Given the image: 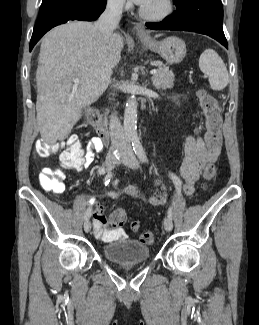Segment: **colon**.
<instances>
[{"label":"colon","mask_w":259,"mask_h":325,"mask_svg":"<svg viewBox=\"0 0 259 325\" xmlns=\"http://www.w3.org/2000/svg\"><path fill=\"white\" fill-rule=\"evenodd\" d=\"M198 100L200 108L205 118V142L209 149H216L221 143V115L220 107L216 98L206 90L198 91ZM66 149L61 154V161L64 166L63 169H50L45 168L39 174V183L41 187L46 191L54 193H61L64 190L63 180L66 177V168H70L76 161H78L82 154L83 148L80 141L71 136L66 141ZM60 148L58 143H46L44 141H38L36 143V152L42 157H47ZM216 169L213 165L206 167L204 171V177L207 180L212 179L215 176ZM126 221V213L123 209L115 210L109 217V224L112 228H121ZM131 229L138 231L140 229V222L133 221L131 223ZM155 235L152 231H144L140 235V241L145 244H153Z\"/></svg>","instance_id":"colon-1"}]
</instances>
